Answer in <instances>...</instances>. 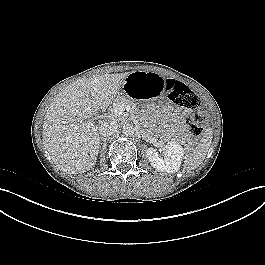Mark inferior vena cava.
<instances>
[{
  "label": "inferior vena cava",
  "mask_w": 265,
  "mask_h": 265,
  "mask_svg": "<svg viewBox=\"0 0 265 265\" xmlns=\"http://www.w3.org/2000/svg\"><path fill=\"white\" fill-rule=\"evenodd\" d=\"M117 129L118 126L114 121H108L99 127V134L103 137H108L116 133Z\"/></svg>",
  "instance_id": "602c4592"
}]
</instances>
